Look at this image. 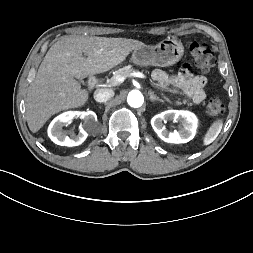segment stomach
<instances>
[{
	"mask_svg": "<svg viewBox=\"0 0 253 253\" xmlns=\"http://www.w3.org/2000/svg\"><path fill=\"white\" fill-rule=\"evenodd\" d=\"M184 54V46L177 39L167 38L155 46H142L133 51L131 61L139 66L166 67L177 63Z\"/></svg>",
	"mask_w": 253,
	"mask_h": 253,
	"instance_id": "stomach-1",
	"label": "stomach"
}]
</instances>
